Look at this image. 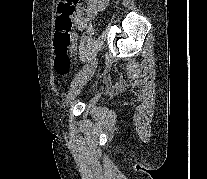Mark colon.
Masks as SVG:
<instances>
[{
    "instance_id": "colon-1",
    "label": "colon",
    "mask_w": 207,
    "mask_h": 179,
    "mask_svg": "<svg viewBox=\"0 0 207 179\" xmlns=\"http://www.w3.org/2000/svg\"><path fill=\"white\" fill-rule=\"evenodd\" d=\"M79 0H61L58 5V15L55 20L54 34V68L57 74L66 75L71 68L70 46L73 38L72 17Z\"/></svg>"
}]
</instances>
